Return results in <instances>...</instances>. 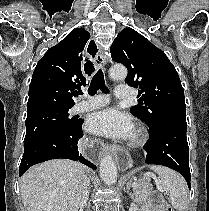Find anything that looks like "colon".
<instances>
[{"label": "colon", "mask_w": 209, "mask_h": 211, "mask_svg": "<svg viewBox=\"0 0 209 211\" xmlns=\"http://www.w3.org/2000/svg\"><path fill=\"white\" fill-rule=\"evenodd\" d=\"M165 211H174V209L170 205H166Z\"/></svg>", "instance_id": "1"}]
</instances>
